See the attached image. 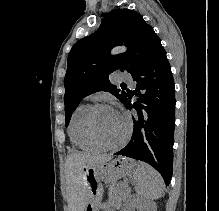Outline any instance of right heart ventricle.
Returning <instances> with one entry per match:
<instances>
[{"instance_id":"obj_1","label":"right heart ventricle","mask_w":219,"mask_h":211,"mask_svg":"<svg viewBox=\"0 0 219 211\" xmlns=\"http://www.w3.org/2000/svg\"><path fill=\"white\" fill-rule=\"evenodd\" d=\"M91 105L83 102L73 110L69 122V137L73 144L87 152H97L102 147L95 144L86 130V117Z\"/></svg>"}]
</instances>
